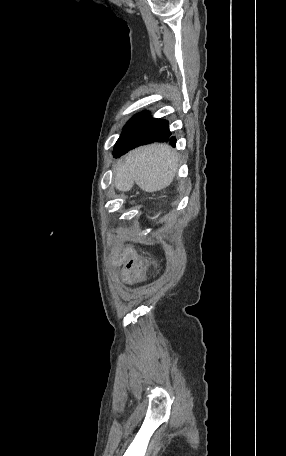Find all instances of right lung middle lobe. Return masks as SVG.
<instances>
[{
    "mask_svg": "<svg viewBox=\"0 0 286 456\" xmlns=\"http://www.w3.org/2000/svg\"><path fill=\"white\" fill-rule=\"evenodd\" d=\"M122 135H123V133H122ZM122 135H121L120 138L118 139V141H117L115 147L121 142V140H122Z\"/></svg>",
    "mask_w": 286,
    "mask_h": 456,
    "instance_id": "obj_1",
    "label": "right lung middle lobe"
}]
</instances>
